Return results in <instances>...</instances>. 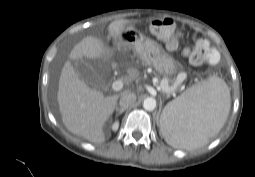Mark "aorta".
<instances>
[{
    "label": "aorta",
    "mask_w": 255,
    "mask_h": 177,
    "mask_svg": "<svg viewBox=\"0 0 255 177\" xmlns=\"http://www.w3.org/2000/svg\"><path fill=\"white\" fill-rule=\"evenodd\" d=\"M156 107V100L153 97H147L143 101V108L147 111H153Z\"/></svg>",
    "instance_id": "762f6f07"
}]
</instances>
